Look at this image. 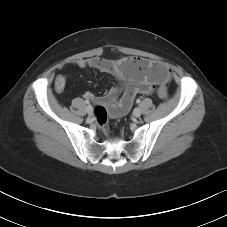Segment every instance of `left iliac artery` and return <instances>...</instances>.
I'll use <instances>...</instances> for the list:
<instances>
[{
    "mask_svg": "<svg viewBox=\"0 0 227 227\" xmlns=\"http://www.w3.org/2000/svg\"><path fill=\"white\" fill-rule=\"evenodd\" d=\"M140 102H141V100H140V99H137V100H136V103H140Z\"/></svg>",
    "mask_w": 227,
    "mask_h": 227,
    "instance_id": "1",
    "label": "left iliac artery"
}]
</instances>
